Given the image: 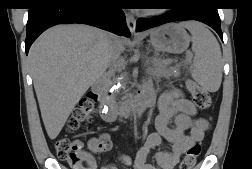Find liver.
Segmentation results:
<instances>
[{
  "mask_svg": "<svg viewBox=\"0 0 252 169\" xmlns=\"http://www.w3.org/2000/svg\"><path fill=\"white\" fill-rule=\"evenodd\" d=\"M112 36L88 25H57L32 44L29 66L50 139L59 135L81 97L104 75Z\"/></svg>",
  "mask_w": 252,
  "mask_h": 169,
  "instance_id": "liver-1",
  "label": "liver"
}]
</instances>
